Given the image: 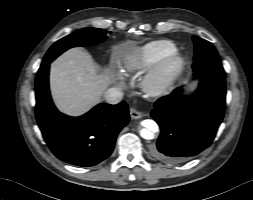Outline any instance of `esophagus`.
<instances>
[{
    "label": "esophagus",
    "mask_w": 253,
    "mask_h": 200,
    "mask_svg": "<svg viewBox=\"0 0 253 200\" xmlns=\"http://www.w3.org/2000/svg\"><path fill=\"white\" fill-rule=\"evenodd\" d=\"M129 113L132 119H140L142 117V113L134 108H131Z\"/></svg>",
    "instance_id": "1"
}]
</instances>
